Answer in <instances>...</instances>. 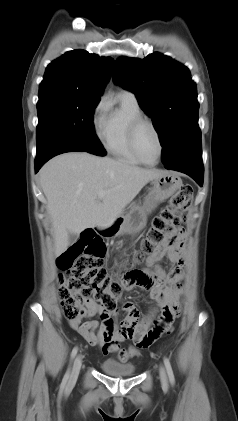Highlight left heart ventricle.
Here are the masks:
<instances>
[{"instance_id":"b2bd125f","label":"left heart ventricle","mask_w":238,"mask_h":421,"mask_svg":"<svg viewBox=\"0 0 238 421\" xmlns=\"http://www.w3.org/2000/svg\"><path fill=\"white\" fill-rule=\"evenodd\" d=\"M137 148L142 158L147 162H154L159 154V144L152 127L144 123L137 133Z\"/></svg>"}]
</instances>
